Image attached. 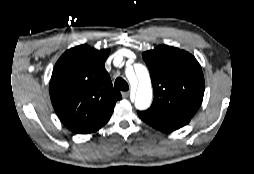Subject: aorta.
<instances>
[{
  "instance_id": "762f6f07",
  "label": "aorta",
  "mask_w": 254,
  "mask_h": 174,
  "mask_svg": "<svg viewBox=\"0 0 254 174\" xmlns=\"http://www.w3.org/2000/svg\"><path fill=\"white\" fill-rule=\"evenodd\" d=\"M126 76L130 82L137 80L138 86L135 97V107L138 110L147 109L152 102V86L147 68L142 64H136L134 70L128 68Z\"/></svg>"
}]
</instances>
